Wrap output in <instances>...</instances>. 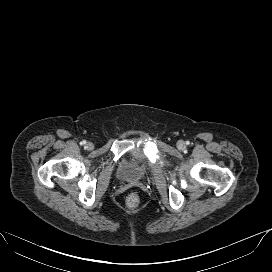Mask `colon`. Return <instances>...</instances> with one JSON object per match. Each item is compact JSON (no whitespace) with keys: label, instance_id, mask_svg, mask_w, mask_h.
Masks as SVG:
<instances>
[{"label":"colon","instance_id":"5ec220e1","mask_svg":"<svg viewBox=\"0 0 272 272\" xmlns=\"http://www.w3.org/2000/svg\"><path fill=\"white\" fill-rule=\"evenodd\" d=\"M140 204V197L136 193H130L126 198V205L130 209H135Z\"/></svg>","mask_w":272,"mask_h":272}]
</instances>
